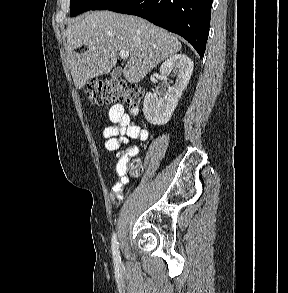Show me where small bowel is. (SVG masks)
Here are the masks:
<instances>
[{
    "instance_id": "1",
    "label": "small bowel",
    "mask_w": 288,
    "mask_h": 293,
    "mask_svg": "<svg viewBox=\"0 0 288 293\" xmlns=\"http://www.w3.org/2000/svg\"><path fill=\"white\" fill-rule=\"evenodd\" d=\"M109 125L103 131L104 147L107 151H116L121 144L128 148L116 163L119 180L111 187V200L116 203L123 199V188L128 183L126 174L129 158L138 154V147L131 144L132 140L144 141L148 137L146 129L140 127L126 112L122 104L113 105L107 115Z\"/></svg>"
}]
</instances>
